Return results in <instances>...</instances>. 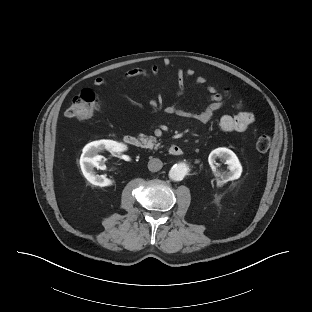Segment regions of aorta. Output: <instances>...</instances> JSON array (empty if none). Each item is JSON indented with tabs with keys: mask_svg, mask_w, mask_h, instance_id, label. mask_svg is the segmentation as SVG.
<instances>
[{
	"mask_svg": "<svg viewBox=\"0 0 312 312\" xmlns=\"http://www.w3.org/2000/svg\"><path fill=\"white\" fill-rule=\"evenodd\" d=\"M188 166L184 163L175 164L169 171V177L174 181H181L188 173Z\"/></svg>",
	"mask_w": 312,
	"mask_h": 312,
	"instance_id": "762f6f07",
	"label": "aorta"
}]
</instances>
